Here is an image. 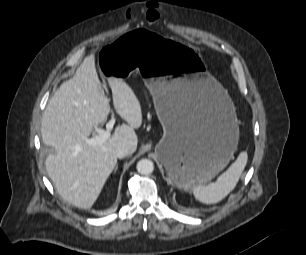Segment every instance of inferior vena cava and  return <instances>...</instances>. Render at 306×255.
I'll list each match as a JSON object with an SVG mask.
<instances>
[{
  "label": "inferior vena cava",
  "instance_id": "obj_1",
  "mask_svg": "<svg viewBox=\"0 0 306 255\" xmlns=\"http://www.w3.org/2000/svg\"><path fill=\"white\" fill-rule=\"evenodd\" d=\"M132 152L133 149L128 144L119 145L115 150L116 157L119 159L127 157L128 155L132 154Z\"/></svg>",
  "mask_w": 306,
  "mask_h": 255
}]
</instances>
